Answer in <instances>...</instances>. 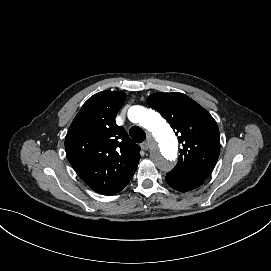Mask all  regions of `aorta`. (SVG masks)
<instances>
[{"label": "aorta", "mask_w": 271, "mask_h": 271, "mask_svg": "<svg viewBox=\"0 0 271 271\" xmlns=\"http://www.w3.org/2000/svg\"><path fill=\"white\" fill-rule=\"evenodd\" d=\"M132 120L144 126L153 138L152 160L163 170H169L178 158V142L168 123L159 113L140 106L134 108Z\"/></svg>", "instance_id": "obj_1"}]
</instances>
